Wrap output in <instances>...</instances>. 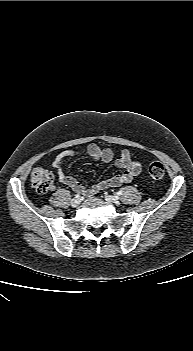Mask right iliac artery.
<instances>
[{
    "instance_id": "82829eb1",
    "label": "right iliac artery",
    "mask_w": 193,
    "mask_h": 351,
    "mask_svg": "<svg viewBox=\"0 0 193 351\" xmlns=\"http://www.w3.org/2000/svg\"><path fill=\"white\" fill-rule=\"evenodd\" d=\"M75 198L79 199V198H80V195H79V194H76V195H75Z\"/></svg>"
}]
</instances>
